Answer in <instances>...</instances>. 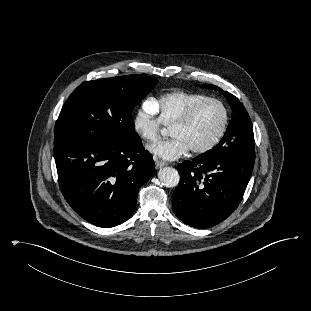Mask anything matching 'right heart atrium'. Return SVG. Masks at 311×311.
I'll return each instance as SVG.
<instances>
[{"mask_svg":"<svg viewBox=\"0 0 311 311\" xmlns=\"http://www.w3.org/2000/svg\"><path fill=\"white\" fill-rule=\"evenodd\" d=\"M156 113L155 102L149 99L142 104L133 116V130L144 142L151 143L155 141L163 126Z\"/></svg>","mask_w":311,"mask_h":311,"instance_id":"1","label":"right heart atrium"}]
</instances>
